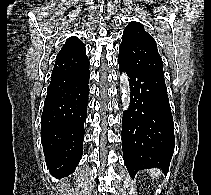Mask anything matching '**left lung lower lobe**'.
<instances>
[{
	"label": "left lung lower lobe",
	"mask_w": 211,
	"mask_h": 195,
	"mask_svg": "<svg viewBox=\"0 0 211 195\" xmlns=\"http://www.w3.org/2000/svg\"><path fill=\"white\" fill-rule=\"evenodd\" d=\"M120 72L129 77L130 105L123 113V157L132 178L139 170L161 168L165 173L175 139L165 82L145 68H137L119 54Z\"/></svg>",
	"instance_id": "left-lung-lower-lobe-1"
}]
</instances>
